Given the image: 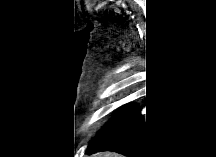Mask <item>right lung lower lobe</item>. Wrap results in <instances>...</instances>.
<instances>
[{
  "mask_svg": "<svg viewBox=\"0 0 216 157\" xmlns=\"http://www.w3.org/2000/svg\"><path fill=\"white\" fill-rule=\"evenodd\" d=\"M158 129L148 107V99L134 102L118 126L87 153L114 151L127 157H156L159 154Z\"/></svg>",
  "mask_w": 216,
  "mask_h": 157,
  "instance_id": "98d812e1",
  "label": "right lung lower lobe"
}]
</instances>
